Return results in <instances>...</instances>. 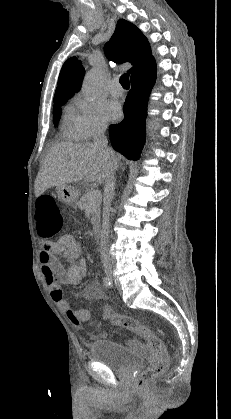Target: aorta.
<instances>
[{"label":"aorta","mask_w":231,"mask_h":419,"mask_svg":"<svg viewBox=\"0 0 231 419\" xmlns=\"http://www.w3.org/2000/svg\"><path fill=\"white\" fill-rule=\"evenodd\" d=\"M103 72L99 69L91 70L84 78L82 93L88 100H93L100 91Z\"/></svg>","instance_id":"obj_1"}]
</instances>
